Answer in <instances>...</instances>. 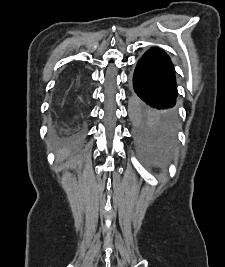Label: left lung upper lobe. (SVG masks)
Listing matches in <instances>:
<instances>
[{
    "instance_id": "left-lung-upper-lobe-1",
    "label": "left lung upper lobe",
    "mask_w": 225,
    "mask_h": 267,
    "mask_svg": "<svg viewBox=\"0 0 225 267\" xmlns=\"http://www.w3.org/2000/svg\"><path fill=\"white\" fill-rule=\"evenodd\" d=\"M138 129L143 135L155 134L163 136H172L175 134V130L170 125L156 122L149 115V111L146 106L140 104L138 112Z\"/></svg>"
}]
</instances>
